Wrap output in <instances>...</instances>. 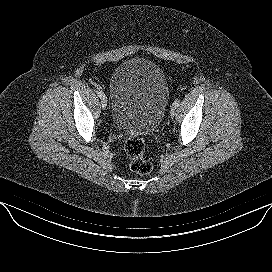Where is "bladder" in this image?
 <instances>
[{
    "instance_id": "obj_1",
    "label": "bladder",
    "mask_w": 272,
    "mask_h": 272,
    "mask_svg": "<svg viewBox=\"0 0 272 272\" xmlns=\"http://www.w3.org/2000/svg\"><path fill=\"white\" fill-rule=\"evenodd\" d=\"M109 91L116 129L141 136L158 127L169 98L167 78L158 64L144 58L126 60L114 71Z\"/></svg>"
}]
</instances>
